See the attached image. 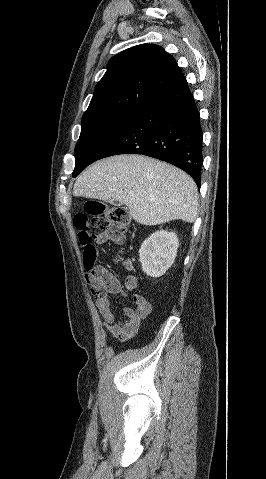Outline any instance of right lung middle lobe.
Wrapping results in <instances>:
<instances>
[{"mask_svg":"<svg viewBox=\"0 0 266 479\" xmlns=\"http://www.w3.org/2000/svg\"><path fill=\"white\" fill-rule=\"evenodd\" d=\"M140 111L139 109H117L82 118L81 134L75 147L73 177L96 161L107 145Z\"/></svg>","mask_w":266,"mask_h":479,"instance_id":"right-lung-middle-lobe-1","label":"right lung middle lobe"}]
</instances>
